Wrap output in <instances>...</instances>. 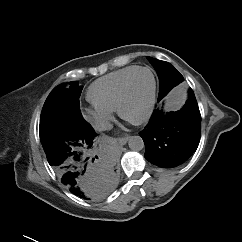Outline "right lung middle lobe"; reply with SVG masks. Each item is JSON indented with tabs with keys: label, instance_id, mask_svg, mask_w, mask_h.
Returning <instances> with one entry per match:
<instances>
[{
	"label": "right lung middle lobe",
	"instance_id": "dd1d6c3e",
	"mask_svg": "<svg viewBox=\"0 0 242 242\" xmlns=\"http://www.w3.org/2000/svg\"><path fill=\"white\" fill-rule=\"evenodd\" d=\"M70 88L58 85L47 97L40 117V140L44 151L71 135L92 129L81 112L79 97L83 89L78 82H70Z\"/></svg>",
	"mask_w": 242,
	"mask_h": 242
}]
</instances>
